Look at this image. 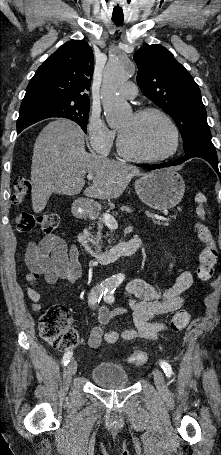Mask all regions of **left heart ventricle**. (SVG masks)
Wrapping results in <instances>:
<instances>
[{
  "label": "left heart ventricle",
  "mask_w": 221,
  "mask_h": 455,
  "mask_svg": "<svg viewBox=\"0 0 221 455\" xmlns=\"http://www.w3.org/2000/svg\"><path fill=\"white\" fill-rule=\"evenodd\" d=\"M125 148L141 156H156L170 150L172 133L165 121L157 115L127 117L118 127Z\"/></svg>",
  "instance_id": "1"
}]
</instances>
